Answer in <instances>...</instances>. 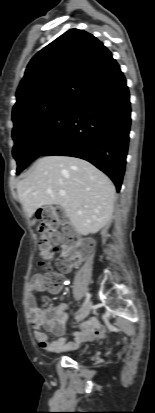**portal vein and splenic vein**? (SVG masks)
Here are the masks:
<instances>
[{"label": "portal vein and splenic vein", "instance_id": "portal-vein-and-splenic-vein-1", "mask_svg": "<svg viewBox=\"0 0 155 413\" xmlns=\"http://www.w3.org/2000/svg\"><path fill=\"white\" fill-rule=\"evenodd\" d=\"M59 194H60L61 196H65V195H66V191H65V190H61V191L59 192Z\"/></svg>", "mask_w": 155, "mask_h": 413}]
</instances>
